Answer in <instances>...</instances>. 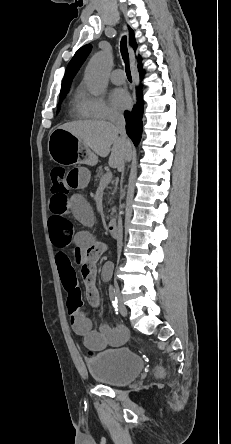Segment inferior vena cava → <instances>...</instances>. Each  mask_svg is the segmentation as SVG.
I'll use <instances>...</instances> for the list:
<instances>
[{
  "instance_id": "1",
  "label": "inferior vena cava",
  "mask_w": 231,
  "mask_h": 444,
  "mask_svg": "<svg viewBox=\"0 0 231 444\" xmlns=\"http://www.w3.org/2000/svg\"><path fill=\"white\" fill-rule=\"evenodd\" d=\"M110 120H111L113 128L120 134L121 139H123L125 142L129 143V139L127 138L126 131H125L124 116L120 113L115 112L111 115ZM124 166L125 165H123L119 169V171H121L122 173L124 172ZM122 215H123L122 212H117V216H116L117 230H118L116 233L118 236V239H117L118 251H120V248H121V236L123 235V232H124V227L122 225L124 224L123 222L125 220L123 219Z\"/></svg>"
}]
</instances>
